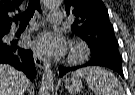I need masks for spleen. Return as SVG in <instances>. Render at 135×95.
<instances>
[{
  "label": "spleen",
  "mask_w": 135,
  "mask_h": 95,
  "mask_svg": "<svg viewBox=\"0 0 135 95\" xmlns=\"http://www.w3.org/2000/svg\"><path fill=\"white\" fill-rule=\"evenodd\" d=\"M74 75L84 78L95 95H125L119 80L104 68H82L75 71Z\"/></svg>",
  "instance_id": "obj_1"
}]
</instances>
